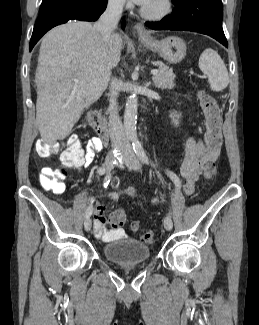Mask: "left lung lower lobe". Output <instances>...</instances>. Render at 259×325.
Segmentation results:
<instances>
[{
    "instance_id": "0a47b994",
    "label": "left lung lower lobe",
    "mask_w": 259,
    "mask_h": 325,
    "mask_svg": "<svg viewBox=\"0 0 259 325\" xmlns=\"http://www.w3.org/2000/svg\"><path fill=\"white\" fill-rule=\"evenodd\" d=\"M172 14L159 22H146L154 30H184L211 36L228 47L222 28L221 0H172Z\"/></svg>"
}]
</instances>
